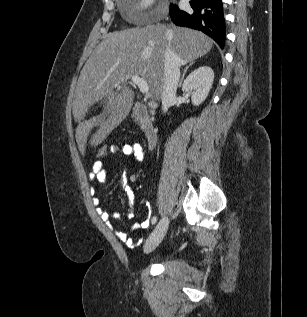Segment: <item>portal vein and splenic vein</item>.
Here are the masks:
<instances>
[{
	"label": "portal vein and splenic vein",
	"instance_id": "obj_1",
	"mask_svg": "<svg viewBox=\"0 0 307 317\" xmlns=\"http://www.w3.org/2000/svg\"><path fill=\"white\" fill-rule=\"evenodd\" d=\"M131 81L136 84L143 94L149 93V86L147 81H145L143 78H140L138 76H132ZM115 87H120L119 85H115Z\"/></svg>",
	"mask_w": 307,
	"mask_h": 317
}]
</instances>
